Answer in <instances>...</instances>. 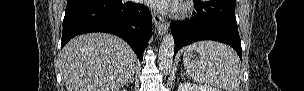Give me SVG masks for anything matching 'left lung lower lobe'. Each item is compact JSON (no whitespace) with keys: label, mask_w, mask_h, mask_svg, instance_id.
<instances>
[{"label":"left lung lower lobe","mask_w":304,"mask_h":91,"mask_svg":"<svg viewBox=\"0 0 304 91\" xmlns=\"http://www.w3.org/2000/svg\"><path fill=\"white\" fill-rule=\"evenodd\" d=\"M194 15L185 21L171 23L175 51L201 40L230 45L242 61L241 40L235 17V0H194Z\"/></svg>","instance_id":"left-lung-lower-lobe-1"}]
</instances>
